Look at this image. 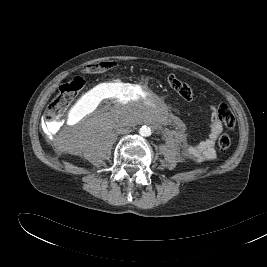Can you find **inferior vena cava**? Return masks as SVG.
<instances>
[{
  "instance_id": "602c4592",
  "label": "inferior vena cava",
  "mask_w": 267,
  "mask_h": 267,
  "mask_svg": "<svg viewBox=\"0 0 267 267\" xmlns=\"http://www.w3.org/2000/svg\"><path fill=\"white\" fill-rule=\"evenodd\" d=\"M121 132H124V133H129V132H130V130L123 129Z\"/></svg>"
}]
</instances>
